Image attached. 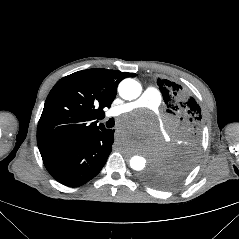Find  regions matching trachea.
Here are the masks:
<instances>
[{
    "mask_svg": "<svg viewBox=\"0 0 239 239\" xmlns=\"http://www.w3.org/2000/svg\"><path fill=\"white\" fill-rule=\"evenodd\" d=\"M114 124H115V121H114L113 118H110V119L106 122V126H107L108 128L113 127Z\"/></svg>",
    "mask_w": 239,
    "mask_h": 239,
    "instance_id": "1",
    "label": "trachea"
}]
</instances>
